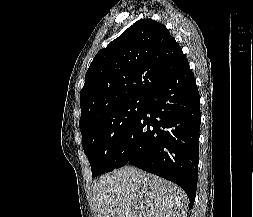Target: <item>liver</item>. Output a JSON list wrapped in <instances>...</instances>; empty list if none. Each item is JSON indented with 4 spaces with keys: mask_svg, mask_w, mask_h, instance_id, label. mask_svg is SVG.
Returning <instances> with one entry per match:
<instances>
[{
    "mask_svg": "<svg viewBox=\"0 0 253 217\" xmlns=\"http://www.w3.org/2000/svg\"><path fill=\"white\" fill-rule=\"evenodd\" d=\"M95 217H186L188 197L177 185L124 166L94 181Z\"/></svg>",
    "mask_w": 253,
    "mask_h": 217,
    "instance_id": "liver-1",
    "label": "liver"
}]
</instances>
